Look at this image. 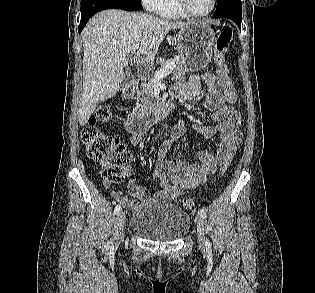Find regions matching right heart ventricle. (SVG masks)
Returning a JSON list of instances; mask_svg holds the SVG:
<instances>
[{
    "mask_svg": "<svg viewBox=\"0 0 315 293\" xmlns=\"http://www.w3.org/2000/svg\"><path fill=\"white\" fill-rule=\"evenodd\" d=\"M156 12L159 16L168 19H185L188 17L181 9L178 0H160Z\"/></svg>",
    "mask_w": 315,
    "mask_h": 293,
    "instance_id": "obj_1",
    "label": "right heart ventricle"
}]
</instances>
